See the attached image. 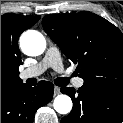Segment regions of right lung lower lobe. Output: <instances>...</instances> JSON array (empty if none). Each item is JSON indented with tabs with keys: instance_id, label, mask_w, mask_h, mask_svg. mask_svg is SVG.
Returning a JSON list of instances; mask_svg holds the SVG:
<instances>
[{
	"instance_id": "98d812e1",
	"label": "right lung lower lobe",
	"mask_w": 123,
	"mask_h": 123,
	"mask_svg": "<svg viewBox=\"0 0 123 123\" xmlns=\"http://www.w3.org/2000/svg\"><path fill=\"white\" fill-rule=\"evenodd\" d=\"M53 92L48 81L35 87L1 88V123H33L36 110L52 100Z\"/></svg>"
}]
</instances>
